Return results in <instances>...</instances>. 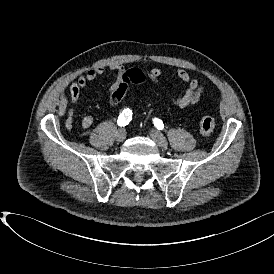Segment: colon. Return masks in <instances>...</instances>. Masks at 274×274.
Returning <instances> with one entry per match:
<instances>
[{
    "label": "colon",
    "mask_w": 274,
    "mask_h": 274,
    "mask_svg": "<svg viewBox=\"0 0 274 274\" xmlns=\"http://www.w3.org/2000/svg\"><path fill=\"white\" fill-rule=\"evenodd\" d=\"M123 80L127 81V82H131L134 84H142L145 80H146V76L144 74V72L138 68H131L129 70H127L123 75H122ZM129 86L126 82L121 81L119 82L116 87H115V91L112 94H109L107 96V103L109 105H116L118 103H121L124 99V94L128 91ZM72 119L69 118L66 121V126L68 129L72 128ZM199 131L202 134L208 135L211 134L214 130V120L212 117L207 116V115H203L200 119H199Z\"/></svg>",
    "instance_id": "5ec220e1"
}]
</instances>
